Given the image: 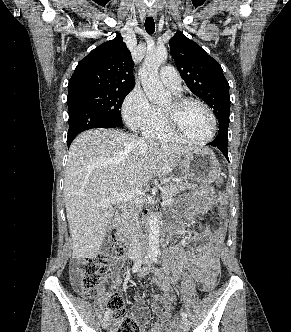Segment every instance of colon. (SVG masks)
Returning <instances> with one entry per match:
<instances>
[{"label": "colon", "mask_w": 291, "mask_h": 332, "mask_svg": "<svg viewBox=\"0 0 291 332\" xmlns=\"http://www.w3.org/2000/svg\"><path fill=\"white\" fill-rule=\"evenodd\" d=\"M111 251H101L95 257L79 261L71 267L70 277L74 287L82 294L95 297L105 279L109 263L123 255L122 244L114 237H110ZM219 279V266H215L206 276L203 288L211 291ZM108 307L112 311L114 324L111 332H141L140 325L127 315L125 302L121 295L111 296Z\"/></svg>", "instance_id": "obj_1"}]
</instances>
